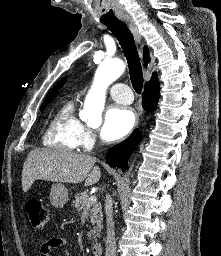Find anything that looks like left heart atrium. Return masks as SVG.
<instances>
[{"mask_svg": "<svg viewBox=\"0 0 221 256\" xmlns=\"http://www.w3.org/2000/svg\"><path fill=\"white\" fill-rule=\"evenodd\" d=\"M134 123L135 115L131 109L111 105L104 115L100 135L106 141L118 140L131 131Z\"/></svg>", "mask_w": 221, "mask_h": 256, "instance_id": "left-heart-atrium-1", "label": "left heart atrium"}]
</instances>
